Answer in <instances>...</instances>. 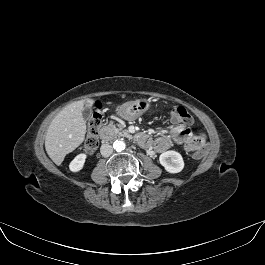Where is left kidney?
I'll return each instance as SVG.
<instances>
[{"label":"left kidney","instance_id":"left-kidney-1","mask_svg":"<svg viewBox=\"0 0 265 265\" xmlns=\"http://www.w3.org/2000/svg\"><path fill=\"white\" fill-rule=\"evenodd\" d=\"M160 164L169 173H179L184 168V161L180 153L170 150L159 157Z\"/></svg>","mask_w":265,"mask_h":265}]
</instances>
